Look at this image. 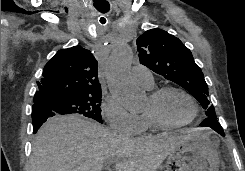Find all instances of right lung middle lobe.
Here are the masks:
<instances>
[{
    "mask_svg": "<svg viewBox=\"0 0 245 171\" xmlns=\"http://www.w3.org/2000/svg\"><path fill=\"white\" fill-rule=\"evenodd\" d=\"M102 93L75 96L55 95L46 97L42 103L57 114L77 113L103 123L101 117Z\"/></svg>",
    "mask_w": 245,
    "mask_h": 171,
    "instance_id": "obj_1",
    "label": "right lung middle lobe"
}]
</instances>
